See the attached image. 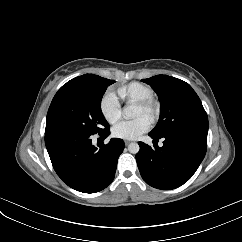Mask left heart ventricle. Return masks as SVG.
<instances>
[{"label": "left heart ventricle", "mask_w": 242, "mask_h": 242, "mask_svg": "<svg viewBox=\"0 0 242 242\" xmlns=\"http://www.w3.org/2000/svg\"><path fill=\"white\" fill-rule=\"evenodd\" d=\"M140 116H146V114L143 112V110L139 107L136 106L135 108V113H134V117H140Z\"/></svg>", "instance_id": "1"}]
</instances>
